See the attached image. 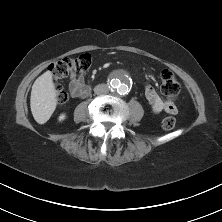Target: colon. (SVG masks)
I'll use <instances>...</instances> for the list:
<instances>
[{
  "mask_svg": "<svg viewBox=\"0 0 222 222\" xmlns=\"http://www.w3.org/2000/svg\"><path fill=\"white\" fill-rule=\"evenodd\" d=\"M92 65L90 54H81L76 58H62L49 65V71L52 74L56 84V99L59 105H63L67 100V93L59 83L60 80L75 74L82 76L86 74ZM161 89L165 97L175 98L180 92V85L176 76L169 70L161 74ZM176 120L172 116L165 117L162 121V128L171 130L175 127Z\"/></svg>",
  "mask_w": 222,
  "mask_h": 222,
  "instance_id": "colon-1",
  "label": "colon"
}]
</instances>
